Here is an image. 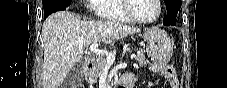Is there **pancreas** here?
Returning <instances> with one entry per match:
<instances>
[{"label": "pancreas", "instance_id": "obj_1", "mask_svg": "<svg viewBox=\"0 0 227 88\" xmlns=\"http://www.w3.org/2000/svg\"><path fill=\"white\" fill-rule=\"evenodd\" d=\"M135 59L138 61L140 65L146 66L147 61L142 49L136 50V57ZM107 66V61L105 58H100L99 63L96 67L92 68L88 73V79L90 83H95V81L100 77L101 73Z\"/></svg>", "mask_w": 227, "mask_h": 88}]
</instances>
